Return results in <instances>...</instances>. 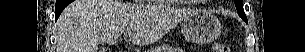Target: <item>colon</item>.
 I'll list each match as a JSON object with an SVG mask.
<instances>
[{
  "label": "colon",
  "mask_w": 305,
  "mask_h": 52,
  "mask_svg": "<svg viewBox=\"0 0 305 52\" xmlns=\"http://www.w3.org/2000/svg\"><path fill=\"white\" fill-rule=\"evenodd\" d=\"M213 48H214L215 52H230L231 51L230 48L226 44L220 43V42L215 43Z\"/></svg>",
  "instance_id": "colon-1"
}]
</instances>
